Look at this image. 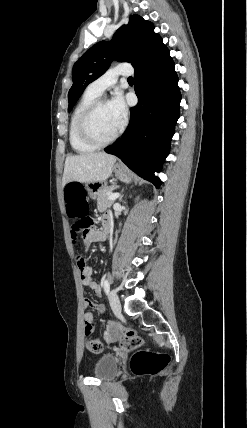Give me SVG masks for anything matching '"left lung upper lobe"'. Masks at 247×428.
Listing matches in <instances>:
<instances>
[{
  "mask_svg": "<svg viewBox=\"0 0 247 428\" xmlns=\"http://www.w3.org/2000/svg\"><path fill=\"white\" fill-rule=\"evenodd\" d=\"M166 48L162 38L154 32L153 24L133 15L110 42L96 43L75 63L68 111L72 110L86 86L104 74L114 59L130 62L136 69Z\"/></svg>",
  "mask_w": 247,
  "mask_h": 428,
  "instance_id": "obj_1",
  "label": "left lung upper lobe"
}]
</instances>
